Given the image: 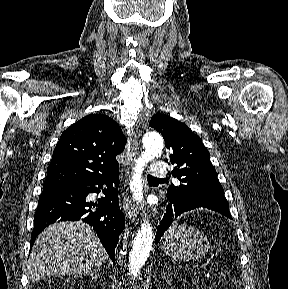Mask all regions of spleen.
Wrapping results in <instances>:
<instances>
[{
	"mask_svg": "<svg viewBox=\"0 0 288 289\" xmlns=\"http://www.w3.org/2000/svg\"><path fill=\"white\" fill-rule=\"evenodd\" d=\"M175 230V226H173L172 228H170V230L166 233V234H170Z\"/></svg>",
	"mask_w": 288,
	"mask_h": 289,
	"instance_id": "spleen-1",
	"label": "spleen"
}]
</instances>
